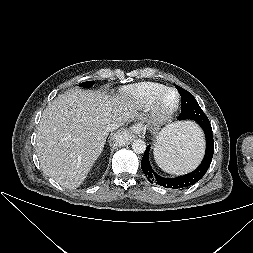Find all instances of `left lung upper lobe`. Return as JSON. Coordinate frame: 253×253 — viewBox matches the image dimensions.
<instances>
[{"label": "left lung upper lobe", "mask_w": 253, "mask_h": 253, "mask_svg": "<svg viewBox=\"0 0 253 253\" xmlns=\"http://www.w3.org/2000/svg\"><path fill=\"white\" fill-rule=\"evenodd\" d=\"M178 92L181 95L182 105H181V113L179 115V119L186 120H196L198 114H203V110L200 108L194 96L186 91L185 89L175 85Z\"/></svg>", "instance_id": "obj_1"}]
</instances>
